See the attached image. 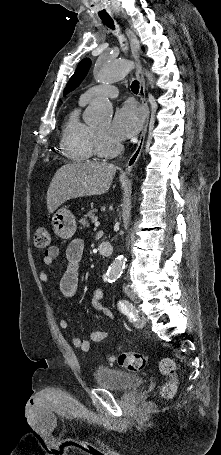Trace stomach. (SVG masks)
Segmentation results:
<instances>
[{"instance_id": "stomach-1", "label": "stomach", "mask_w": 221, "mask_h": 455, "mask_svg": "<svg viewBox=\"0 0 221 455\" xmlns=\"http://www.w3.org/2000/svg\"><path fill=\"white\" fill-rule=\"evenodd\" d=\"M54 233L62 239H70L76 232L75 216L67 208H60L52 216Z\"/></svg>"}]
</instances>
